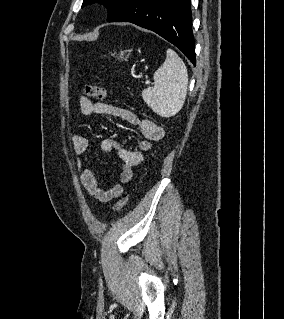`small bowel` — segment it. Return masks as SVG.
Masks as SVG:
<instances>
[{"mask_svg": "<svg viewBox=\"0 0 284 319\" xmlns=\"http://www.w3.org/2000/svg\"><path fill=\"white\" fill-rule=\"evenodd\" d=\"M80 109L84 115H109L120 118L132 125H137L144 137L137 149H131L113 139L102 142L101 148L104 152H115L121 160L120 182L104 189L100 183L97 173L89 166L82 167L80 156L87 152L89 139L81 133H75L72 137L73 150L77 156V166L80 172V180L88 194L100 202H109L119 198L123 194V184L129 183L134 176V168L144 160L145 152L148 151L153 142L161 140L164 129L155 121L148 118H140L134 112L102 102H93L86 97L80 98Z\"/></svg>", "mask_w": 284, "mask_h": 319, "instance_id": "1", "label": "small bowel"}]
</instances>
